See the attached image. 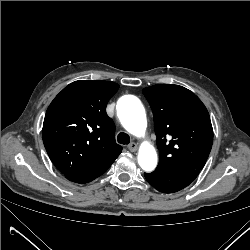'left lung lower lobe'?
Masks as SVG:
<instances>
[{
    "label": "left lung lower lobe",
    "mask_w": 250,
    "mask_h": 250,
    "mask_svg": "<svg viewBox=\"0 0 250 250\" xmlns=\"http://www.w3.org/2000/svg\"><path fill=\"white\" fill-rule=\"evenodd\" d=\"M199 170L189 171H153L144 173L146 180L163 193L177 192L188 186L198 175Z\"/></svg>",
    "instance_id": "0a47b994"
}]
</instances>
